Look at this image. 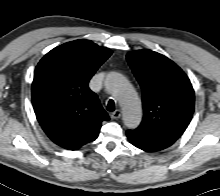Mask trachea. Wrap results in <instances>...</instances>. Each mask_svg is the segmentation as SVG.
Masks as SVG:
<instances>
[{"label":"trachea","mask_w":220,"mask_h":196,"mask_svg":"<svg viewBox=\"0 0 220 196\" xmlns=\"http://www.w3.org/2000/svg\"><path fill=\"white\" fill-rule=\"evenodd\" d=\"M108 111H114L115 110V103L112 99H110L108 101V104H107V108H106Z\"/></svg>","instance_id":"trachea-1"}]
</instances>
